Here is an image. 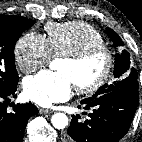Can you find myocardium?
Here are the masks:
<instances>
[{
    "mask_svg": "<svg viewBox=\"0 0 142 142\" xmlns=\"http://www.w3.org/2000/svg\"><path fill=\"white\" fill-rule=\"evenodd\" d=\"M95 56H102L104 68L97 79L88 84H77L75 89L79 93L91 94L101 89L108 81L114 67V57L112 51L104 46H92L74 54L64 55V59L73 64L80 65Z\"/></svg>",
    "mask_w": 142,
    "mask_h": 142,
    "instance_id": "1",
    "label": "myocardium"
}]
</instances>
